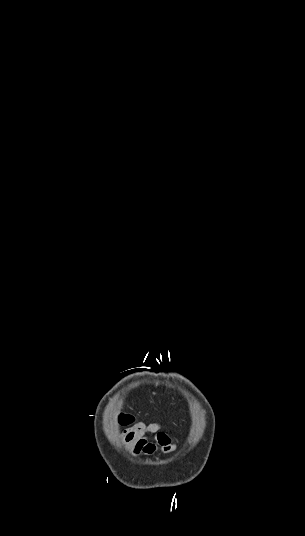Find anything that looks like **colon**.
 I'll return each mask as SVG.
<instances>
[{
    "label": "colon",
    "instance_id": "obj_1",
    "mask_svg": "<svg viewBox=\"0 0 305 536\" xmlns=\"http://www.w3.org/2000/svg\"><path fill=\"white\" fill-rule=\"evenodd\" d=\"M135 419H136V414L133 411H127L124 414V417L119 418L117 420V423L122 426L130 427L133 425Z\"/></svg>",
    "mask_w": 305,
    "mask_h": 536
}]
</instances>
